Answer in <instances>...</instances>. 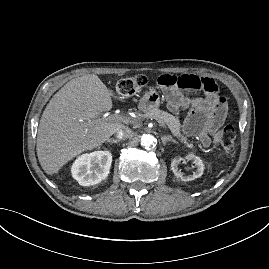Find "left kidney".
Instances as JSON below:
<instances>
[{
    "instance_id": "left-kidney-1",
    "label": "left kidney",
    "mask_w": 269,
    "mask_h": 269,
    "mask_svg": "<svg viewBox=\"0 0 269 269\" xmlns=\"http://www.w3.org/2000/svg\"><path fill=\"white\" fill-rule=\"evenodd\" d=\"M185 159L192 161L196 166V170L193 172L192 175L184 176L178 170V166H179L182 158H174L171 162V169H172L174 175L177 178H180L182 181H191V180H194L196 178L201 177L203 174V171H204V164H203V161L200 159V157H198L194 154H188Z\"/></svg>"
}]
</instances>
